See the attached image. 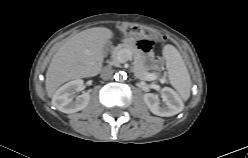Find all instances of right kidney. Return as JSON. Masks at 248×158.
Segmentation results:
<instances>
[{
  "mask_svg": "<svg viewBox=\"0 0 248 158\" xmlns=\"http://www.w3.org/2000/svg\"><path fill=\"white\" fill-rule=\"evenodd\" d=\"M83 82L74 80L59 88L55 95L56 107L67 114H72L85 109L90 100V93L86 92L80 96L76 94L81 90Z\"/></svg>",
  "mask_w": 248,
  "mask_h": 158,
  "instance_id": "ca27d5eb",
  "label": "right kidney"
}]
</instances>
